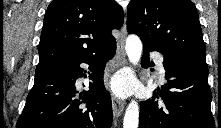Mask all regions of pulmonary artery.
I'll list each match as a JSON object with an SVG mask.
<instances>
[{
	"mask_svg": "<svg viewBox=\"0 0 221 128\" xmlns=\"http://www.w3.org/2000/svg\"><path fill=\"white\" fill-rule=\"evenodd\" d=\"M151 57H152L153 61L156 63V68H157V70H158L160 76H161L162 78H164V76H165V70H164L163 58H162V56H160V55L154 53V54L151 55Z\"/></svg>",
	"mask_w": 221,
	"mask_h": 128,
	"instance_id": "1",
	"label": "pulmonary artery"
}]
</instances>
